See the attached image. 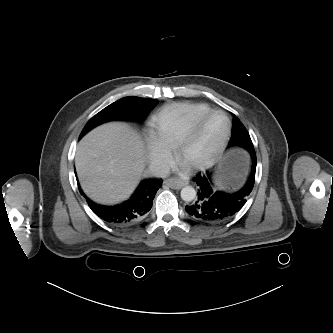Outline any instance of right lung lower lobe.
Here are the masks:
<instances>
[{"label": "right lung lower lobe", "instance_id": "1", "mask_svg": "<svg viewBox=\"0 0 333 333\" xmlns=\"http://www.w3.org/2000/svg\"><path fill=\"white\" fill-rule=\"evenodd\" d=\"M161 186L162 180H143L135 193L124 203L115 206H103L87 198L78 184L81 195L86 198L92 211L101 219L117 226L132 225L143 219L151 209L155 194Z\"/></svg>", "mask_w": 333, "mask_h": 333}]
</instances>
